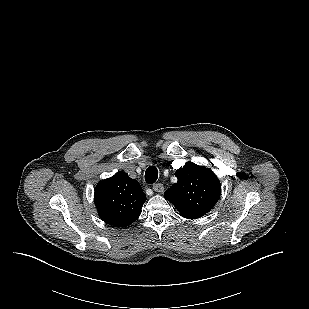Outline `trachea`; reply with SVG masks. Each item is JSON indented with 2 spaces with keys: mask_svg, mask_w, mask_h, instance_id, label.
Returning a JSON list of instances; mask_svg holds the SVG:
<instances>
[{
  "mask_svg": "<svg viewBox=\"0 0 309 309\" xmlns=\"http://www.w3.org/2000/svg\"><path fill=\"white\" fill-rule=\"evenodd\" d=\"M158 178V170L155 166H150L145 172V181L149 184L154 183Z\"/></svg>",
  "mask_w": 309,
  "mask_h": 309,
  "instance_id": "3493384b",
  "label": "trachea"
}]
</instances>
